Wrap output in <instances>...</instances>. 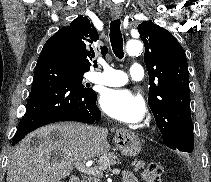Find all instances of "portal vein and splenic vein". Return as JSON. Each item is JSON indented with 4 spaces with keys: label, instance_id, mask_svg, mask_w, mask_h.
Wrapping results in <instances>:
<instances>
[{
    "label": "portal vein and splenic vein",
    "instance_id": "portal-vein-and-splenic-vein-1",
    "mask_svg": "<svg viewBox=\"0 0 211 182\" xmlns=\"http://www.w3.org/2000/svg\"><path fill=\"white\" fill-rule=\"evenodd\" d=\"M75 167L82 173L91 174L95 172L94 168H91L88 166V164H83L82 162H79V161L75 162ZM112 172L117 174L120 172V170L113 169Z\"/></svg>",
    "mask_w": 211,
    "mask_h": 182
}]
</instances>
